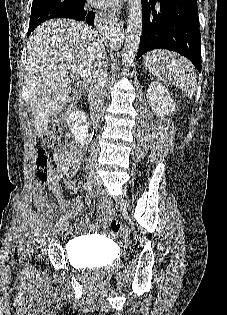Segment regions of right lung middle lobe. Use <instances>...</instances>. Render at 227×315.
Wrapping results in <instances>:
<instances>
[{
  "label": "right lung middle lobe",
  "mask_w": 227,
  "mask_h": 315,
  "mask_svg": "<svg viewBox=\"0 0 227 315\" xmlns=\"http://www.w3.org/2000/svg\"><path fill=\"white\" fill-rule=\"evenodd\" d=\"M80 0H33L28 34L41 23L53 18H63L68 9Z\"/></svg>",
  "instance_id": "1"
}]
</instances>
